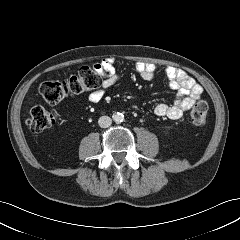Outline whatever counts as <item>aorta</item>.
Listing matches in <instances>:
<instances>
[{
  "label": "aorta",
  "mask_w": 240,
  "mask_h": 240,
  "mask_svg": "<svg viewBox=\"0 0 240 240\" xmlns=\"http://www.w3.org/2000/svg\"><path fill=\"white\" fill-rule=\"evenodd\" d=\"M113 120L115 121V122H122L123 120H124V115L122 114V113H115V114H113Z\"/></svg>",
  "instance_id": "aorta-1"
}]
</instances>
